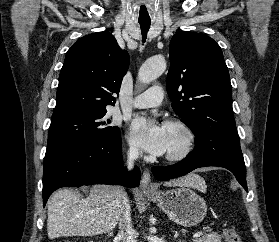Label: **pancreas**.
<instances>
[{
    "instance_id": "obj_1",
    "label": "pancreas",
    "mask_w": 279,
    "mask_h": 242,
    "mask_svg": "<svg viewBox=\"0 0 279 242\" xmlns=\"http://www.w3.org/2000/svg\"><path fill=\"white\" fill-rule=\"evenodd\" d=\"M195 242H221V236L217 232H212L196 239Z\"/></svg>"
}]
</instances>
